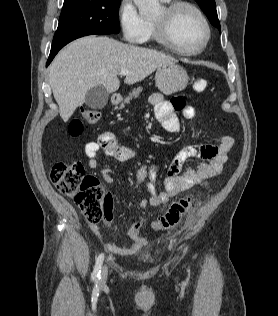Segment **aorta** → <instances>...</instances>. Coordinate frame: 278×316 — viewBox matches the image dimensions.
Returning <instances> with one entry per match:
<instances>
[{
    "mask_svg": "<svg viewBox=\"0 0 278 316\" xmlns=\"http://www.w3.org/2000/svg\"><path fill=\"white\" fill-rule=\"evenodd\" d=\"M143 17L155 15L160 10L159 0H133Z\"/></svg>",
    "mask_w": 278,
    "mask_h": 316,
    "instance_id": "762f6f07",
    "label": "aorta"
}]
</instances>
